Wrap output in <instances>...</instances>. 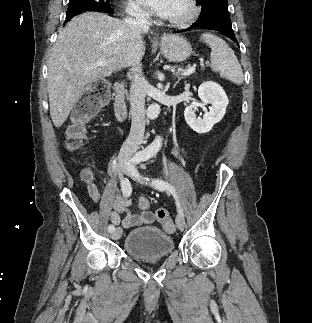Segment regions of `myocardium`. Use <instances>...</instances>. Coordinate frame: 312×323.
Wrapping results in <instances>:
<instances>
[{"label":"myocardium","mask_w":312,"mask_h":323,"mask_svg":"<svg viewBox=\"0 0 312 323\" xmlns=\"http://www.w3.org/2000/svg\"><path fill=\"white\" fill-rule=\"evenodd\" d=\"M199 0H183L182 4L186 6L183 8V12H177L174 18H171V25H190L191 21H198L204 5L202 3L197 4ZM189 4V6H187Z\"/></svg>","instance_id":"1"}]
</instances>
